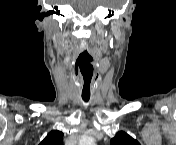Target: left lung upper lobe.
Masks as SVG:
<instances>
[{"mask_svg":"<svg viewBox=\"0 0 176 145\" xmlns=\"http://www.w3.org/2000/svg\"><path fill=\"white\" fill-rule=\"evenodd\" d=\"M111 145H139L138 141L133 139L127 133L120 131L110 141Z\"/></svg>","mask_w":176,"mask_h":145,"instance_id":"left-lung-upper-lobe-1","label":"left lung upper lobe"}]
</instances>
